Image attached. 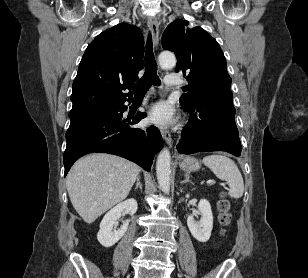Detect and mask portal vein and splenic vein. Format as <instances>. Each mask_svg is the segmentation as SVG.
<instances>
[{"mask_svg":"<svg viewBox=\"0 0 308 278\" xmlns=\"http://www.w3.org/2000/svg\"><path fill=\"white\" fill-rule=\"evenodd\" d=\"M212 182H215L214 180H208L207 183L210 184Z\"/></svg>","mask_w":308,"mask_h":278,"instance_id":"obj_1","label":"portal vein and splenic vein"}]
</instances>
